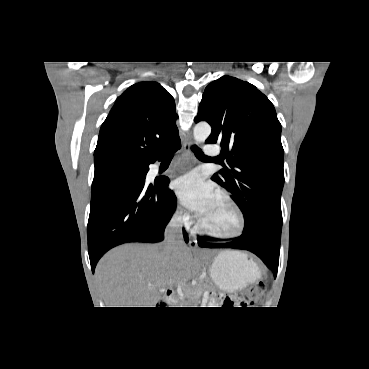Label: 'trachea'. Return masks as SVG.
I'll return each mask as SVG.
<instances>
[{
	"label": "trachea",
	"instance_id": "1",
	"mask_svg": "<svg viewBox=\"0 0 369 369\" xmlns=\"http://www.w3.org/2000/svg\"><path fill=\"white\" fill-rule=\"evenodd\" d=\"M191 149L197 158H208L207 156L204 155V153L198 146L194 145L191 147ZM172 158H173V155H168L166 157V159H172Z\"/></svg>",
	"mask_w": 369,
	"mask_h": 369
}]
</instances>
